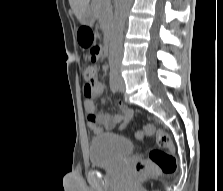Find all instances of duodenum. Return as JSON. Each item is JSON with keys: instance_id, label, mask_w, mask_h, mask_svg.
Here are the masks:
<instances>
[{"instance_id": "duodenum-1", "label": "duodenum", "mask_w": 223, "mask_h": 191, "mask_svg": "<svg viewBox=\"0 0 223 191\" xmlns=\"http://www.w3.org/2000/svg\"><path fill=\"white\" fill-rule=\"evenodd\" d=\"M111 49V38L110 33L108 32L104 38V50L106 53H109Z\"/></svg>"}]
</instances>
